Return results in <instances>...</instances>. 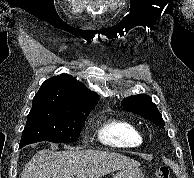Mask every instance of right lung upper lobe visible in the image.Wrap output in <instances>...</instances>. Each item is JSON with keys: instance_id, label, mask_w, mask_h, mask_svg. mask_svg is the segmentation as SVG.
Wrapping results in <instances>:
<instances>
[{"instance_id": "1", "label": "right lung upper lobe", "mask_w": 194, "mask_h": 178, "mask_svg": "<svg viewBox=\"0 0 194 178\" xmlns=\"http://www.w3.org/2000/svg\"><path fill=\"white\" fill-rule=\"evenodd\" d=\"M33 102H47L70 111L88 112L98 102V95L87 90L71 75L61 74L43 82Z\"/></svg>"}]
</instances>
